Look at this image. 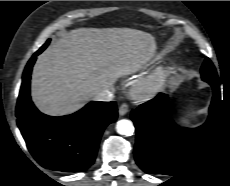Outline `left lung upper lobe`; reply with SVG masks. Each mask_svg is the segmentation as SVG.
Returning <instances> with one entry per match:
<instances>
[{
	"mask_svg": "<svg viewBox=\"0 0 230 186\" xmlns=\"http://www.w3.org/2000/svg\"><path fill=\"white\" fill-rule=\"evenodd\" d=\"M202 79L206 82L218 81L217 73L215 67L209 58L205 59V62L201 68Z\"/></svg>",
	"mask_w": 230,
	"mask_h": 186,
	"instance_id": "1",
	"label": "left lung upper lobe"
}]
</instances>
